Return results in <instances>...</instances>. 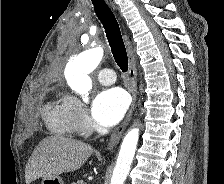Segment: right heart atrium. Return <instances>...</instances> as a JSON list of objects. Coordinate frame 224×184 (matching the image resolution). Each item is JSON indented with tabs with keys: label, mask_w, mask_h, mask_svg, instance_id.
I'll return each instance as SVG.
<instances>
[{
	"label": "right heart atrium",
	"mask_w": 224,
	"mask_h": 184,
	"mask_svg": "<svg viewBox=\"0 0 224 184\" xmlns=\"http://www.w3.org/2000/svg\"><path fill=\"white\" fill-rule=\"evenodd\" d=\"M65 103L70 111L75 131L85 133L91 126V121L88 115L86 106L77 97L69 95L65 98Z\"/></svg>",
	"instance_id": "right-heart-atrium-1"
}]
</instances>
